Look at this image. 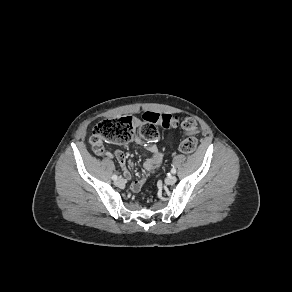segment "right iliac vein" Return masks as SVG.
I'll use <instances>...</instances> for the list:
<instances>
[{
  "label": "right iliac vein",
  "instance_id": "right-iliac-vein-1",
  "mask_svg": "<svg viewBox=\"0 0 292 292\" xmlns=\"http://www.w3.org/2000/svg\"><path fill=\"white\" fill-rule=\"evenodd\" d=\"M114 183L119 188L124 187V180L122 178H120V177L118 179H116Z\"/></svg>",
  "mask_w": 292,
  "mask_h": 292
}]
</instances>
